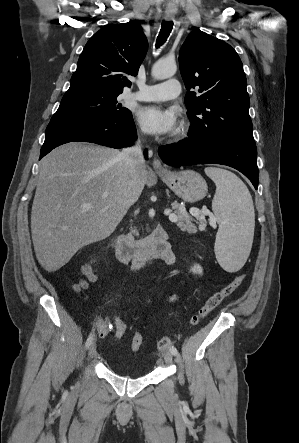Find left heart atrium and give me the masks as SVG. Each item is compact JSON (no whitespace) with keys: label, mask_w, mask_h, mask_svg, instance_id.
Instances as JSON below:
<instances>
[{"label":"left heart atrium","mask_w":299,"mask_h":443,"mask_svg":"<svg viewBox=\"0 0 299 443\" xmlns=\"http://www.w3.org/2000/svg\"><path fill=\"white\" fill-rule=\"evenodd\" d=\"M138 123L155 135H168L178 127V115L174 109L158 105L142 107L137 113Z\"/></svg>","instance_id":"left-heart-atrium-1"}]
</instances>
